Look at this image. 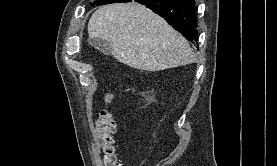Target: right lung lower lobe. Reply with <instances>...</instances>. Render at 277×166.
Instances as JSON below:
<instances>
[{"label": "right lung lower lobe", "mask_w": 277, "mask_h": 166, "mask_svg": "<svg viewBox=\"0 0 277 166\" xmlns=\"http://www.w3.org/2000/svg\"><path fill=\"white\" fill-rule=\"evenodd\" d=\"M138 2L163 17L190 42L197 43L194 0H113L111 3Z\"/></svg>", "instance_id": "obj_1"}]
</instances>
